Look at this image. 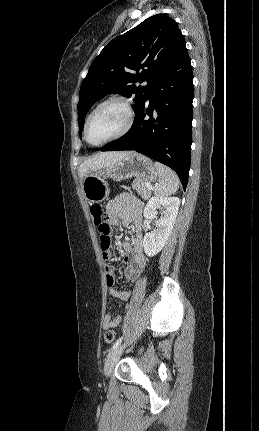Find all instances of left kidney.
<instances>
[{"mask_svg":"<svg viewBox=\"0 0 259 431\" xmlns=\"http://www.w3.org/2000/svg\"><path fill=\"white\" fill-rule=\"evenodd\" d=\"M179 206L180 199L178 197L154 196L148 201L144 209L146 219L157 218L158 210H162V213L156 221V229L144 236L143 247L147 256H155L165 246L173 229Z\"/></svg>","mask_w":259,"mask_h":431,"instance_id":"1","label":"left kidney"}]
</instances>
